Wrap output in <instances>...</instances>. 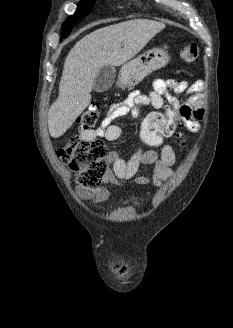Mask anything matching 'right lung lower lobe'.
<instances>
[{"label":"right lung lower lobe","instance_id":"98d812e1","mask_svg":"<svg viewBox=\"0 0 233 328\" xmlns=\"http://www.w3.org/2000/svg\"><path fill=\"white\" fill-rule=\"evenodd\" d=\"M71 28H72V27H70L69 29L63 28V35H62V38H65V37L70 33ZM66 31H67L68 33H65Z\"/></svg>","mask_w":233,"mask_h":328}]
</instances>
